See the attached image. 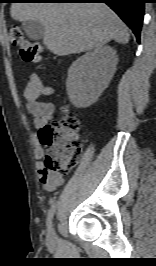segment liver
Listing matches in <instances>:
<instances>
[{
  "mask_svg": "<svg viewBox=\"0 0 156 266\" xmlns=\"http://www.w3.org/2000/svg\"><path fill=\"white\" fill-rule=\"evenodd\" d=\"M11 17L44 26V45L58 56L101 47L111 40L126 44L129 33L104 3H12Z\"/></svg>",
  "mask_w": 156,
  "mask_h": 266,
  "instance_id": "obj_1",
  "label": "liver"
}]
</instances>
